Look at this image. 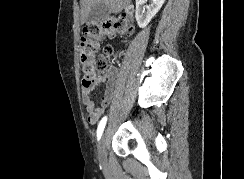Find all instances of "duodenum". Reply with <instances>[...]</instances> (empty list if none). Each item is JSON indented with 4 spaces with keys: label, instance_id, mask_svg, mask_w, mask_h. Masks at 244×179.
I'll return each mask as SVG.
<instances>
[{
    "label": "duodenum",
    "instance_id": "410a0bca",
    "mask_svg": "<svg viewBox=\"0 0 244 179\" xmlns=\"http://www.w3.org/2000/svg\"><path fill=\"white\" fill-rule=\"evenodd\" d=\"M133 12V9L131 7L127 8L126 14L130 15Z\"/></svg>",
    "mask_w": 244,
    "mask_h": 179
}]
</instances>
